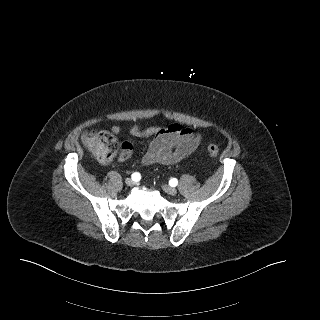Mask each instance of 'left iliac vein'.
Masks as SVG:
<instances>
[{
    "mask_svg": "<svg viewBox=\"0 0 320 320\" xmlns=\"http://www.w3.org/2000/svg\"><path fill=\"white\" fill-rule=\"evenodd\" d=\"M162 189L168 193L169 195H176L177 194V189L168 185H163Z\"/></svg>",
    "mask_w": 320,
    "mask_h": 320,
    "instance_id": "obj_1",
    "label": "left iliac vein"
}]
</instances>
